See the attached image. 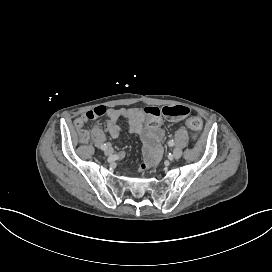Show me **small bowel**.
<instances>
[{"label": "small bowel", "instance_id": "obj_1", "mask_svg": "<svg viewBox=\"0 0 272 272\" xmlns=\"http://www.w3.org/2000/svg\"><path fill=\"white\" fill-rule=\"evenodd\" d=\"M147 115L145 108H110L107 111V119L105 120L106 128L112 138H117L119 135L118 120L121 117L128 121L129 132L141 137L145 152L144 161L140 165L141 170L148 169L159 160L162 153L160 141L164 137V130L161 128L162 120L158 118L154 125H144ZM77 120L82 121L84 124L86 122L84 115L78 117L75 121ZM172 120L178 121L180 119ZM148 154L151 155V158L147 157Z\"/></svg>", "mask_w": 272, "mask_h": 272}]
</instances>
